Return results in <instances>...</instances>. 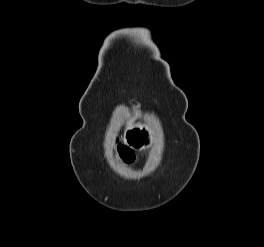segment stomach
I'll list each match as a JSON object with an SVG mask.
<instances>
[{"label": "stomach", "mask_w": 264, "mask_h": 247, "mask_svg": "<svg viewBox=\"0 0 264 247\" xmlns=\"http://www.w3.org/2000/svg\"><path fill=\"white\" fill-rule=\"evenodd\" d=\"M155 130L149 125H134L127 121L124 131V142L131 148L143 150L148 148L154 141Z\"/></svg>", "instance_id": "0dacf381"}]
</instances>
